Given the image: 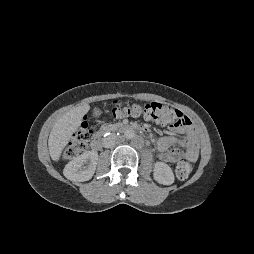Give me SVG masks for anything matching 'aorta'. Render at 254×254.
I'll return each instance as SVG.
<instances>
[{"label":"aorta","mask_w":254,"mask_h":254,"mask_svg":"<svg viewBox=\"0 0 254 254\" xmlns=\"http://www.w3.org/2000/svg\"><path fill=\"white\" fill-rule=\"evenodd\" d=\"M135 136V132L132 129H128L124 133V137L127 139H132Z\"/></svg>","instance_id":"1"}]
</instances>
